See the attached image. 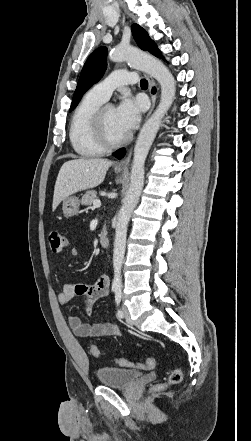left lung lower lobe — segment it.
Returning a JSON list of instances; mask_svg holds the SVG:
<instances>
[{
  "label": "left lung lower lobe",
  "mask_w": 251,
  "mask_h": 441,
  "mask_svg": "<svg viewBox=\"0 0 251 441\" xmlns=\"http://www.w3.org/2000/svg\"><path fill=\"white\" fill-rule=\"evenodd\" d=\"M152 93H155V89H154V88L152 89ZM124 154H125V149H124V148L119 149V150L116 152V157H117L118 159H121V158L124 156Z\"/></svg>",
  "instance_id": "0a47b994"
}]
</instances>
